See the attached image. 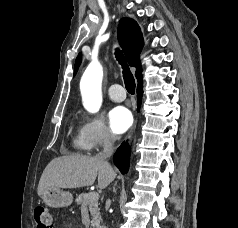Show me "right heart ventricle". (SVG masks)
I'll list each match as a JSON object with an SVG mask.
<instances>
[{
  "label": "right heart ventricle",
  "mask_w": 238,
  "mask_h": 228,
  "mask_svg": "<svg viewBox=\"0 0 238 228\" xmlns=\"http://www.w3.org/2000/svg\"><path fill=\"white\" fill-rule=\"evenodd\" d=\"M73 143H74V146H75L76 149L86 150L85 145H84V143L82 141V138L80 136V132H78V135L75 137Z\"/></svg>",
  "instance_id": "obj_1"
}]
</instances>
